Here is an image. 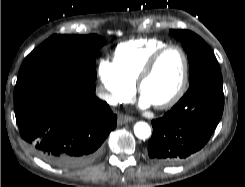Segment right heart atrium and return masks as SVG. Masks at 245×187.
<instances>
[{
  "mask_svg": "<svg viewBox=\"0 0 245 187\" xmlns=\"http://www.w3.org/2000/svg\"><path fill=\"white\" fill-rule=\"evenodd\" d=\"M97 71L101 83L100 96L105 102L117 105L131 98L135 86L124 77L114 61L100 58Z\"/></svg>",
  "mask_w": 245,
  "mask_h": 187,
  "instance_id": "obj_1",
  "label": "right heart atrium"
}]
</instances>
